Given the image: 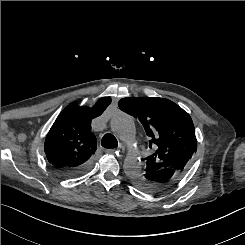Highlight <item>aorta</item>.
<instances>
[{"label":"aorta","mask_w":245,"mask_h":245,"mask_svg":"<svg viewBox=\"0 0 245 245\" xmlns=\"http://www.w3.org/2000/svg\"><path fill=\"white\" fill-rule=\"evenodd\" d=\"M111 131L128 147L135 142L136 130L132 118L119 112L110 121ZM123 169L125 174L133 178L141 173L142 164L139 157L133 153H128L125 157Z\"/></svg>","instance_id":"762f6f07"}]
</instances>
